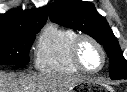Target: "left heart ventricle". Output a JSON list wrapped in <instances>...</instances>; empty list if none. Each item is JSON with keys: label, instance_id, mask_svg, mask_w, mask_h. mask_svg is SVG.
I'll return each instance as SVG.
<instances>
[{"label": "left heart ventricle", "instance_id": "1", "mask_svg": "<svg viewBox=\"0 0 127 92\" xmlns=\"http://www.w3.org/2000/svg\"><path fill=\"white\" fill-rule=\"evenodd\" d=\"M80 60L83 66L89 70H96L102 64V57L96 46L89 42H82L79 49Z\"/></svg>", "mask_w": 127, "mask_h": 92}]
</instances>
